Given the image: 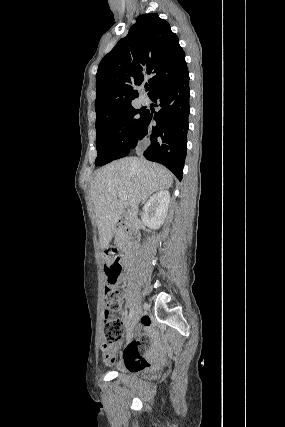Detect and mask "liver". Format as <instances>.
Instances as JSON below:
<instances>
[{
    "label": "liver",
    "instance_id": "obj_1",
    "mask_svg": "<svg viewBox=\"0 0 285 427\" xmlns=\"http://www.w3.org/2000/svg\"><path fill=\"white\" fill-rule=\"evenodd\" d=\"M173 184V174L164 166L143 157H126L101 168L90 188L101 249L108 247L116 223L124 212L119 193L130 207Z\"/></svg>",
    "mask_w": 285,
    "mask_h": 427
}]
</instances>
